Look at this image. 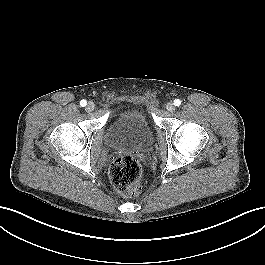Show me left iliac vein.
<instances>
[{"mask_svg": "<svg viewBox=\"0 0 265 265\" xmlns=\"http://www.w3.org/2000/svg\"><path fill=\"white\" fill-rule=\"evenodd\" d=\"M166 109L169 111V112H173L175 110V106L172 102H168L167 105H166Z\"/></svg>", "mask_w": 265, "mask_h": 265, "instance_id": "left-iliac-vein-1", "label": "left iliac vein"}]
</instances>
